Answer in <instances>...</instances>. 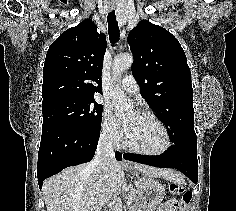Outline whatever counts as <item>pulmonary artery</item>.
<instances>
[{"mask_svg":"<svg viewBox=\"0 0 236 211\" xmlns=\"http://www.w3.org/2000/svg\"><path fill=\"white\" fill-rule=\"evenodd\" d=\"M120 88L132 95L137 94L139 91L138 82L133 76H125L120 83Z\"/></svg>","mask_w":236,"mask_h":211,"instance_id":"1","label":"pulmonary artery"}]
</instances>
